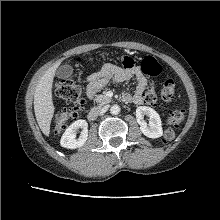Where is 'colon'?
Instances as JSON below:
<instances>
[{"mask_svg":"<svg viewBox=\"0 0 220 220\" xmlns=\"http://www.w3.org/2000/svg\"><path fill=\"white\" fill-rule=\"evenodd\" d=\"M131 61L128 57H124L122 65L125 67ZM141 70L148 76H157L161 73L162 67L160 63L152 56H146L141 62ZM176 86L173 80L169 79L164 82L160 96L161 99L168 102L175 96ZM55 95L70 105L69 109H65L57 113L54 117V129L56 132L64 130L71 122L76 120L84 105L82 86L71 80L59 81L54 89ZM155 96L153 93H146L144 96V103L151 105L155 103ZM184 119V113L181 110L170 111L167 118L169 126H176ZM175 132L172 127H169L164 133V141L168 142L173 140Z\"/></svg>","mask_w":220,"mask_h":220,"instance_id":"5ec220e1","label":"colon"}]
</instances>
